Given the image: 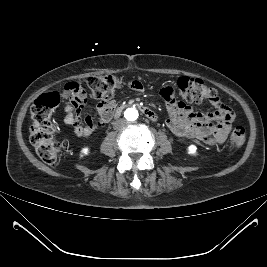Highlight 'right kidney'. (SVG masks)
Instances as JSON below:
<instances>
[{"label":"right kidney","instance_id":"right-kidney-1","mask_svg":"<svg viewBox=\"0 0 267 267\" xmlns=\"http://www.w3.org/2000/svg\"><path fill=\"white\" fill-rule=\"evenodd\" d=\"M89 154V148L88 147H85L81 150V154L80 156L83 157V156H86Z\"/></svg>","mask_w":267,"mask_h":267}]
</instances>
